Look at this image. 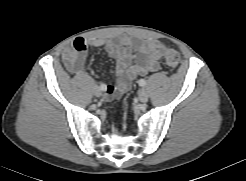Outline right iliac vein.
I'll use <instances>...</instances> for the list:
<instances>
[{"instance_id": "right-iliac-vein-1", "label": "right iliac vein", "mask_w": 246, "mask_h": 181, "mask_svg": "<svg viewBox=\"0 0 246 181\" xmlns=\"http://www.w3.org/2000/svg\"><path fill=\"white\" fill-rule=\"evenodd\" d=\"M94 95L97 97H100L102 95L101 89L100 88H95L94 89Z\"/></svg>"}]
</instances>
